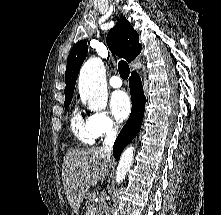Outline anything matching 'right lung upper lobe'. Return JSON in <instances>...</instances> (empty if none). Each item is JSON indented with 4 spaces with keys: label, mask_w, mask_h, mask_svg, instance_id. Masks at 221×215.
I'll return each instance as SVG.
<instances>
[{
    "label": "right lung upper lobe",
    "mask_w": 221,
    "mask_h": 215,
    "mask_svg": "<svg viewBox=\"0 0 221 215\" xmlns=\"http://www.w3.org/2000/svg\"><path fill=\"white\" fill-rule=\"evenodd\" d=\"M107 44L113 54L125 58L128 62L134 60L141 51L138 34L124 17L120 18L115 27L109 31ZM87 52V42L81 40L74 45L68 56L65 72V101L72 100L76 79Z\"/></svg>",
    "instance_id": "cb5924a9"
}]
</instances>
